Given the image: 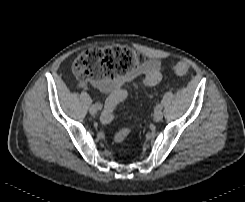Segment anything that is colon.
Returning <instances> with one entry per match:
<instances>
[{
  "mask_svg": "<svg viewBox=\"0 0 245 202\" xmlns=\"http://www.w3.org/2000/svg\"><path fill=\"white\" fill-rule=\"evenodd\" d=\"M141 56L126 46L99 47L80 52L72 64L73 73L83 79L94 80L100 77L116 79L124 76L137 63ZM175 74L184 76L189 72L185 62H177L173 65ZM157 78V76H156ZM114 106L107 104L101 115V121L105 124L114 119ZM131 132L130 128L117 132L113 141L122 144Z\"/></svg>",
  "mask_w": 245,
  "mask_h": 202,
  "instance_id": "colon-1",
  "label": "colon"
}]
</instances>
